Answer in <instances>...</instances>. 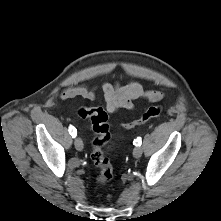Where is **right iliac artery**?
<instances>
[{"mask_svg": "<svg viewBox=\"0 0 221 221\" xmlns=\"http://www.w3.org/2000/svg\"><path fill=\"white\" fill-rule=\"evenodd\" d=\"M69 133L71 134L72 138H75L77 135L76 129L73 128L72 126L69 127Z\"/></svg>", "mask_w": 221, "mask_h": 221, "instance_id": "right-iliac-artery-1", "label": "right iliac artery"}]
</instances>
